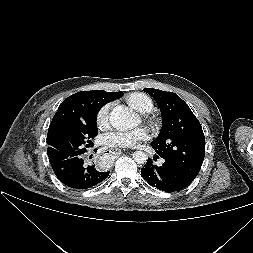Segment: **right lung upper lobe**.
<instances>
[{
  "label": "right lung upper lobe",
  "mask_w": 253,
  "mask_h": 253,
  "mask_svg": "<svg viewBox=\"0 0 253 253\" xmlns=\"http://www.w3.org/2000/svg\"><path fill=\"white\" fill-rule=\"evenodd\" d=\"M123 95V92L104 90L82 91L66 98L59 106L50 124L47 142L65 126H73L85 121L88 113Z\"/></svg>",
  "instance_id": "cb5924a9"
}]
</instances>
